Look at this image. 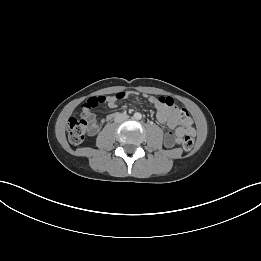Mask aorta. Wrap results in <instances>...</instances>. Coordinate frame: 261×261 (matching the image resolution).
<instances>
[{"mask_svg": "<svg viewBox=\"0 0 261 261\" xmlns=\"http://www.w3.org/2000/svg\"><path fill=\"white\" fill-rule=\"evenodd\" d=\"M137 119H140L141 118V115L140 114H136L135 116Z\"/></svg>", "mask_w": 261, "mask_h": 261, "instance_id": "762f6f07", "label": "aorta"}]
</instances>
